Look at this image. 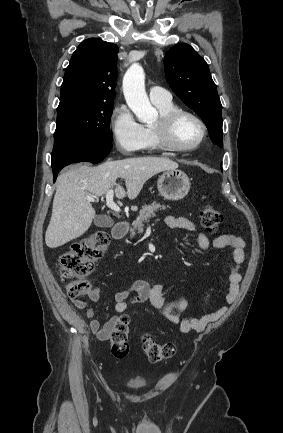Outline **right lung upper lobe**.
<instances>
[{
    "instance_id": "cb5924a9",
    "label": "right lung upper lobe",
    "mask_w": 283,
    "mask_h": 433,
    "mask_svg": "<svg viewBox=\"0 0 283 433\" xmlns=\"http://www.w3.org/2000/svg\"><path fill=\"white\" fill-rule=\"evenodd\" d=\"M118 46L89 38L73 53L61 86L58 110L86 103L113 102Z\"/></svg>"
}]
</instances>
